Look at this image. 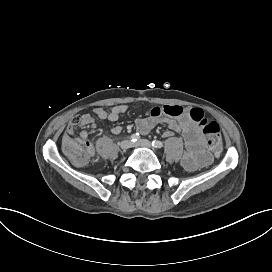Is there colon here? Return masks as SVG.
Here are the masks:
<instances>
[{
    "instance_id": "colon-1",
    "label": "colon",
    "mask_w": 272,
    "mask_h": 272,
    "mask_svg": "<svg viewBox=\"0 0 272 272\" xmlns=\"http://www.w3.org/2000/svg\"><path fill=\"white\" fill-rule=\"evenodd\" d=\"M190 116L201 127L208 150L218 154L223 146L220 125L216 121L204 118L200 112H192ZM61 147L77 169L86 170L90 167L93 151L88 140L70 135L62 141Z\"/></svg>"
}]
</instances>
